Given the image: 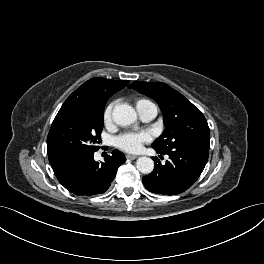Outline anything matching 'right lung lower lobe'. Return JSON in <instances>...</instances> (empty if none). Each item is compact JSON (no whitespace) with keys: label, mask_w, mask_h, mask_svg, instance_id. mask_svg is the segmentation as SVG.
Returning <instances> with one entry per match:
<instances>
[{"label":"right lung lower lobe","mask_w":264,"mask_h":264,"mask_svg":"<svg viewBox=\"0 0 264 264\" xmlns=\"http://www.w3.org/2000/svg\"><path fill=\"white\" fill-rule=\"evenodd\" d=\"M94 152H72L49 161L59 182L71 193L87 196L104 193L126 161L123 153L114 150L100 164L94 160Z\"/></svg>","instance_id":"obj_1"}]
</instances>
